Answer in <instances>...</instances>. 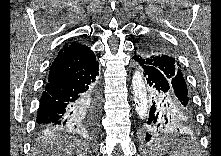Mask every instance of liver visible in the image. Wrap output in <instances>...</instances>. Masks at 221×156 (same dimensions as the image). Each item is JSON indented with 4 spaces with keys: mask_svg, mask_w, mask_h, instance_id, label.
Here are the masks:
<instances>
[{
    "mask_svg": "<svg viewBox=\"0 0 221 156\" xmlns=\"http://www.w3.org/2000/svg\"><path fill=\"white\" fill-rule=\"evenodd\" d=\"M87 145L75 137L51 136L32 148L33 156H87Z\"/></svg>",
    "mask_w": 221,
    "mask_h": 156,
    "instance_id": "6515ba94",
    "label": "liver"
}]
</instances>
